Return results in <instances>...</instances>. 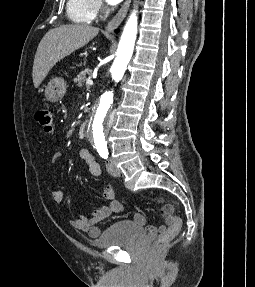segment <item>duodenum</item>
Returning <instances> with one entry per match:
<instances>
[{"label":"duodenum","instance_id":"1","mask_svg":"<svg viewBox=\"0 0 255 287\" xmlns=\"http://www.w3.org/2000/svg\"><path fill=\"white\" fill-rule=\"evenodd\" d=\"M78 135L80 138H86L87 136V123L83 122L80 124L79 128H78Z\"/></svg>","mask_w":255,"mask_h":287}]
</instances>
